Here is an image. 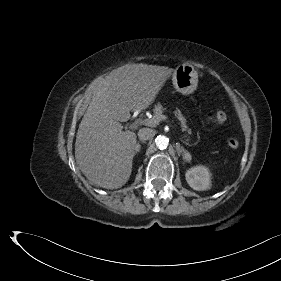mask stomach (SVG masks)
Returning <instances> with one entry per match:
<instances>
[{
	"mask_svg": "<svg viewBox=\"0 0 281 281\" xmlns=\"http://www.w3.org/2000/svg\"><path fill=\"white\" fill-rule=\"evenodd\" d=\"M172 83L179 93L191 94L197 88L198 73L190 64L179 65L172 73Z\"/></svg>",
	"mask_w": 281,
	"mask_h": 281,
	"instance_id": "1",
	"label": "stomach"
}]
</instances>
